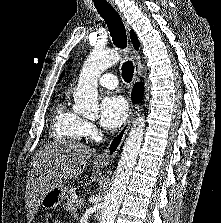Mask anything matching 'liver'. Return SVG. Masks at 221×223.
Segmentation results:
<instances>
[{"label":"liver","mask_w":221,"mask_h":223,"mask_svg":"<svg viewBox=\"0 0 221 223\" xmlns=\"http://www.w3.org/2000/svg\"><path fill=\"white\" fill-rule=\"evenodd\" d=\"M94 150L71 140L50 142L35 153L27 177V219L32 221L42 197L56 185L78 177Z\"/></svg>","instance_id":"obj_1"}]
</instances>
